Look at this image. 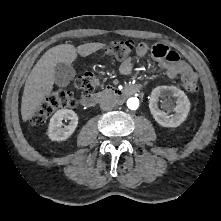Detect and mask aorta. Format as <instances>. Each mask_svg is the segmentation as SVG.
Listing matches in <instances>:
<instances>
[{"label":"aorta","mask_w":221,"mask_h":221,"mask_svg":"<svg viewBox=\"0 0 221 221\" xmlns=\"http://www.w3.org/2000/svg\"><path fill=\"white\" fill-rule=\"evenodd\" d=\"M139 106V100L137 97H131L127 100V107L131 110H136Z\"/></svg>","instance_id":"1"}]
</instances>
